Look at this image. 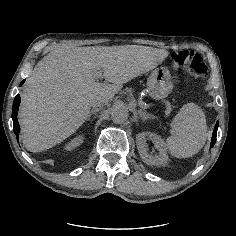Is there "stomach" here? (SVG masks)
I'll return each mask as SVG.
<instances>
[{
	"mask_svg": "<svg viewBox=\"0 0 236 236\" xmlns=\"http://www.w3.org/2000/svg\"><path fill=\"white\" fill-rule=\"evenodd\" d=\"M170 72L165 68L155 69L147 80V91L151 98L162 99L172 91Z\"/></svg>",
	"mask_w": 236,
	"mask_h": 236,
	"instance_id": "0dacf381",
	"label": "stomach"
}]
</instances>
